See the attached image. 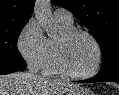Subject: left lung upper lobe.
Instances as JSON below:
<instances>
[{
  "mask_svg": "<svg viewBox=\"0 0 119 95\" xmlns=\"http://www.w3.org/2000/svg\"><path fill=\"white\" fill-rule=\"evenodd\" d=\"M78 18L97 40L102 56L98 75L119 76V0H53Z\"/></svg>",
  "mask_w": 119,
  "mask_h": 95,
  "instance_id": "obj_1",
  "label": "left lung upper lobe"
}]
</instances>
